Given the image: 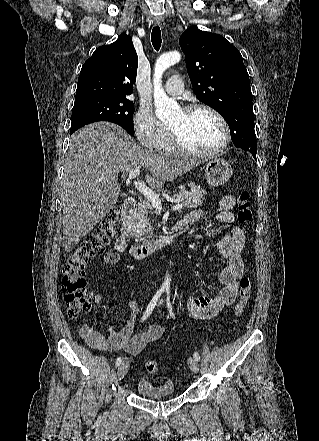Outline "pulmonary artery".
Returning <instances> with one entry per match:
<instances>
[{"label":"pulmonary artery","mask_w":319,"mask_h":441,"mask_svg":"<svg viewBox=\"0 0 319 441\" xmlns=\"http://www.w3.org/2000/svg\"><path fill=\"white\" fill-rule=\"evenodd\" d=\"M183 81L179 75L172 76L165 84L164 90L169 95H180L183 92Z\"/></svg>","instance_id":"1"}]
</instances>
